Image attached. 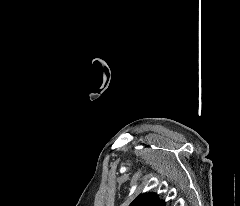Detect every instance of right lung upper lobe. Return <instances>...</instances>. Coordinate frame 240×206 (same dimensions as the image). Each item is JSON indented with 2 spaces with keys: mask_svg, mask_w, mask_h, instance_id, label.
<instances>
[{
  "mask_svg": "<svg viewBox=\"0 0 240 206\" xmlns=\"http://www.w3.org/2000/svg\"><path fill=\"white\" fill-rule=\"evenodd\" d=\"M130 206H165L156 194L145 193L137 197Z\"/></svg>",
  "mask_w": 240,
  "mask_h": 206,
  "instance_id": "right-lung-upper-lobe-1",
  "label": "right lung upper lobe"
}]
</instances>
